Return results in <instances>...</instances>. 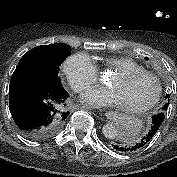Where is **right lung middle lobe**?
I'll return each mask as SVG.
<instances>
[{
  "label": "right lung middle lobe",
  "mask_w": 177,
  "mask_h": 177,
  "mask_svg": "<svg viewBox=\"0 0 177 177\" xmlns=\"http://www.w3.org/2000/svg\"><path fill=\"white\" fill-rule=\"evenodd\" d=\"M69 50L65 44L33 48L21 58L11 82H34L62 89L63 86L58 78L59 66L69 55Z\"/></svg>",
  "instance_id": "1"
}]
</instances>
